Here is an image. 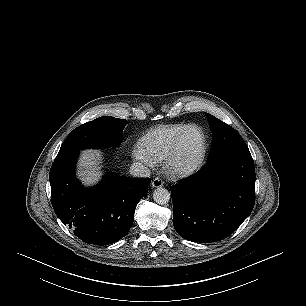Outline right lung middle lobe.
Instances as JSON below:
<instances>
[{"instance_id": "dd1d6c3e", "label": "right lung middle lobe", "mask_w": 306, "mask_h": 306, "mask_svg": "<svg viewBox=\"0 0 306 306\" xmlns=\"http://www.w3.org/2000/svg\"><path fill=\"white\" fill-rule=\"evenodd\" d=\"M125 119L97 118L74 129L63 142L55 161L88 148H105L122 141Z\"/></svg>"}]
</instances>
